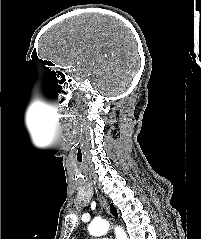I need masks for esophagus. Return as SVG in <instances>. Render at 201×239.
<instances>
[{
	"mask_svg": "<svg viewBox=\"0 0 201 239\" xmlns=\"http://www.w3.org/2000/svg\"><path fill=\"white\" fill-rule=\"evenodd\" d=\"M98 200H99V202H100L102 208H104L105 211L108 213V206H107V202H106V200L104 199V197L101 196V195H98Z\"/></svg>",
	"mask_w": 201,
	"mask_h": 239,
	"instance_id": "obj_1",
	"label": "esophagus"
}]
</instances>
